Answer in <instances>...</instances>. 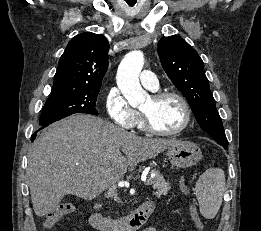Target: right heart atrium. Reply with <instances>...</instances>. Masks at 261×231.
<instances>
[{"instance_id":"right-heart-atrium-1","label":"right heart atrium","mask_w":261,"mask_h":231,"mask_svg":"<svg viewBox=\"0 0 261 231\" xmlns=\"http://www.w3.org/2000/svg\"><path fill=\"white\" fill-rule=\"evenodd\" d=\"M105 107L115 125L124 130H131L136 126L139 114L129 105L124 95L117 88L113 87L108 91Z\"/></svg>"}]
</instances>
